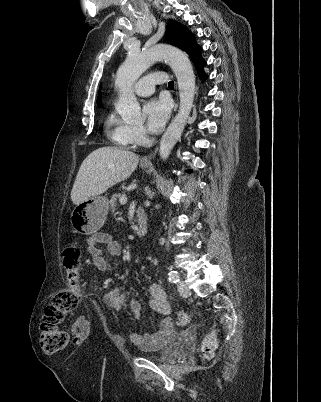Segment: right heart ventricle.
<instances>
[{
    "instance_id": "obj_1",
    "label": "right heart ventricle",
    "mask_w": 321,
    "mask_h": 402,
    "mask_svg": "<svg viewBox=\"0 0 321 402\" xmlns=\"http://www.w3.org/2000/svg\"><path fill=\"white\" fill-rule=\"evenodd\" d=\"M107 135L113 143L122 148L135 145L132 137L133 125L111 112L105 120Z\"/></svg>"
}]
</instances>
